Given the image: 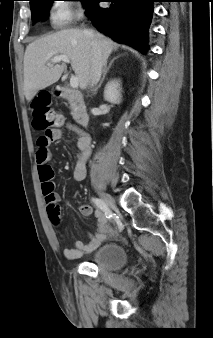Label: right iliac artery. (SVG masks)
Returning <instances> with one entry per match:
<instances>
[{
    "instance_id": "right-iliac-artery-1",
    "label": "right iliac artery",
    "mask_w": 213,
    "mask_h": 338,
    "mask_svg": "<svg viewBox=\"0 0 213 338\" xmlns=\"http://www.w3.org/2000/svg\"><path fill=\"white\" fill-rule=\"evenodd\" d=\"M92 201L94 202V204L100 208L106 215V217L110 220L112 217V213L108 207V205L106 203H104L103 200L99 199V198H93Z\"/></svg>"
}]
</instances>
